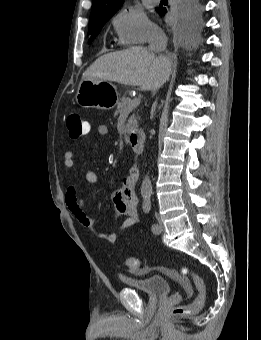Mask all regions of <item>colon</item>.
Segmentation results:
<instances>
[{"label": "colon", "mask_w": 261, "mask_h": 340, "mask_svg": "<svg viewBox=\"0 0 261 340\" xmlns=\"http://www.w3.org/2000/svg\"><path fill=\"white\" fill-rule=\"evenodd\" d=\"M66 125L71 139L76 140L85 135L84 121L79 113L71 112L67 117ZM125 265L131 271L137 272L139 270L140 262L137 258L128 257L125 260ZM180 273L184 278H189L192 281L197 290V295L189 305L174 307L171 311L174 316L196 313L202 309L206 300V286L203 279L186 266L180 268Z\"/></svg>", "instance_id": "obj_1"}]
</instances>
